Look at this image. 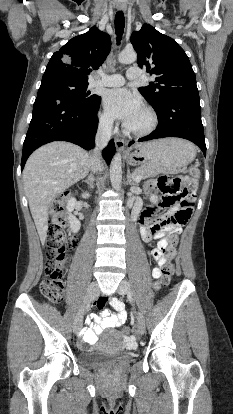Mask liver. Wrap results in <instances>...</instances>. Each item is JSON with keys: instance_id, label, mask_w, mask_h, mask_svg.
<instances>
[{"instance_id": "1", "label": "liver", "mask_w": 233, "mask_h": 414, "mask_svg": "<svg viewBox=\"0 0 233 414\" xmlns=\"http://www.w3.org/2000/svg\"><path fill=\"white\" fill-rule=\"evenodd\" d=\"M89 170V153L64 141L48 143L28 158L23 170L24 190L42 243L47 237L51 202L85 178Z\"/></svg>"}]
</instances>
